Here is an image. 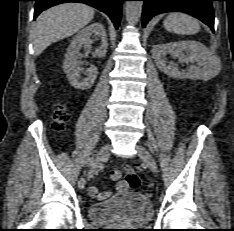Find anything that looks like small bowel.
<instances>
[{
	"mask_svg": "<svg viewBox=\"0 0 234 231\" xmlns=\"http://www.w3.org/2000/svg\"><path fill=\"white\" fill-rule=\"evenodd\" d=\"M116 191L119 193H125L128 190V186L124 181H118L115 187ZM89 195L95 200H102L110 196V191H104L99 193L95 186H90L88 188Z\"/></svg>",
	"mask_w": 234,
	"mask_h": 231,
	"instance_id": "c3829d8e",
	"label": "small bowel"
}]
</instances>
